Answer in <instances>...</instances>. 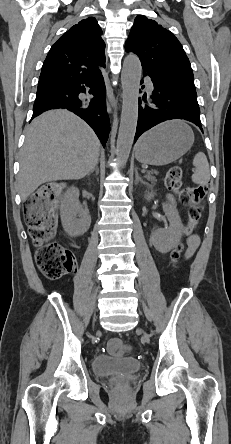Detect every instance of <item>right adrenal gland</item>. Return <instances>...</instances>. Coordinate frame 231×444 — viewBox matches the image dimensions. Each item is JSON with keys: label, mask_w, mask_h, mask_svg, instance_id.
Masks as SVG:
<instances>
[{"label": "right adrenal gland", "mask_w": 231, "mask_h": 444, "mask_svg": "<svg viewBox=\"0 0 231 444\" xmlns=\"http://www.w3.org/2000/svg\"><path fill=\"white\" fill-rule=\"evenodd\" d=\"M94 171L96 172V174H99L98 162L95 165L94 169L90 172V174H92Z\"/></svg>", "instance_id": "1"}]
</instances>
